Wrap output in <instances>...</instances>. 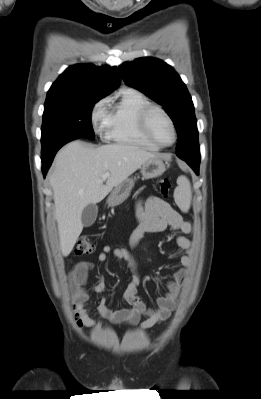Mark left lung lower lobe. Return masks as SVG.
Here are the masks:
<instances>
[{
  "label": "left lung lower lobe",
  "instance_id": "0a47b994",
  "mask_svg": "<svg viewBox=\"0 0 261 399\" xmlns=\"http://www.w3.org/2000/svg\"><path fill=\"white\" fill-rule=\"evenodd\" d=\"M185 162H187L192 169L195 171L197 175H199V164H200V158L198 159H183Z\"/></svg>",
  "mask_w": 261,
  "mask_h": 399
}]
</instances>
